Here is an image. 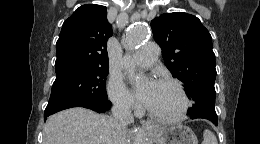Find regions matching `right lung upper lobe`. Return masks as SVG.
I'll list each match as a JSON object with an SVG mask.
<instances>
[{"mask_svg":"<svg viewBox=\"0 0 260 144\" xmlns=\"http://www.w3.org/2000/svg\"><path fill=\"white\" fill-rule=\"evenodd\" d=\"M106 7H79L64 23L56 43L55 68L66 65L108 66L107 40L112 36Z\"/></svg>","mask_w":260,"mask_h":144,"instance_id":"obj_1","label":"right lung upper lobe"}]
</instances>
